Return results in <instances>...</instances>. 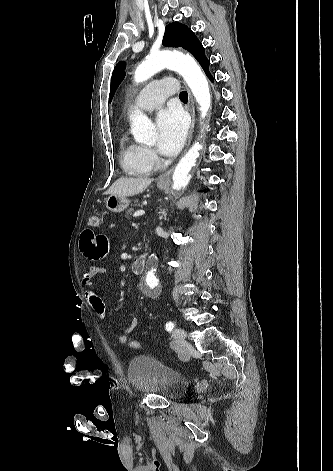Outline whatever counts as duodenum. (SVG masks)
Instances as JSON below:
<instances>
[{
  "label": "duodenum",
  "mask_w": 333,
  "mask_h": 471,
  "mask_svg": "<svg viewBox=\"0 0 333 471\" xmlns=\"http://www.w3.org/2000/svg\"><path fill=\"white\" fill-rule=\"evenodd\" d=\"M146 264H147L146 256H140L132 262L131 271L134 274H140L145 270Z\"/></svg>",
  "instance_id": "obj_1"
}]
</instances>
